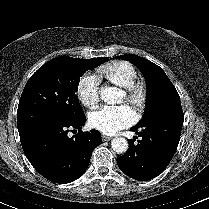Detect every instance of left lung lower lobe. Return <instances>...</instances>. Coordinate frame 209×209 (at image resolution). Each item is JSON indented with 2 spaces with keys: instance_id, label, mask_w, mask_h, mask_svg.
<instances>
[{
  "instance_id": "1",
  "label": "left lung lower lobe",
  "mask_w": 209,
  "mask_h": 209,
  "mask_svg": "<svg viewBox=\"0 0 209 209\" xmlns=\"http://www.w3.org/2000/svg\"><path fill=\"white\" fill-rule=\"evenodd\" d=\"M183 116H164L131 128L141 140L117 158V164L127 176L139 180H150L161 174L171 161L180 141Z\"/></svg>"
}]
</instances>
